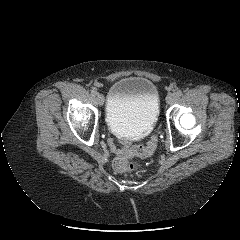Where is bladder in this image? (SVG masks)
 <instances>
[{
  "label": "bladder",
  "mask_w": 240,
  "mask_h": 240,
  "mask_svg": "<svg viewBox=\"0 0 240 240\" xmlns=\"http://www.w3.org/2000/svg\"><path fill=\"white\" fill-rule=\"evenodd\" d=\"M160 112L156 85L148 78L129 76L110 87L106 104V122L118 135L140 137L155 126Z\"/></svg>",
  "instance_id": "obj_1"
}]
</instances>
